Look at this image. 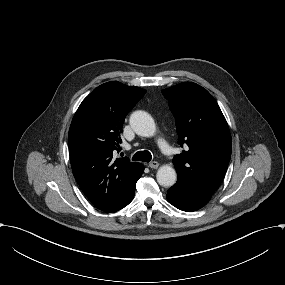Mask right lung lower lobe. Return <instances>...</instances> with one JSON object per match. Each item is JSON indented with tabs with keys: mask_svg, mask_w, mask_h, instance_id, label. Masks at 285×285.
Instances as JSON below:
<instances>
[{
	"mask_svg": "<svg viewBox=\"0 0 285 285\" xmlns=\"http://www.w3.org/2000/svg\"><path fill=\"white\" fill-rule=\"evenodd\" d=\"M144 171V170H143ZM143 171L136 177V179L134 180V182L132 183L128 193L126 194L124 200L120 203L119 206H117L113 211L111 212H115L118 211L122 208H124L125 206H127L133 199L134 197V193H135V186H136V182L139 180V178L141 177Z\"/></svg>",
	"mask_w": 285,
	"mask_h": 285,
	"instance_id": "1",
	"label": "right lung lower lobe"
}]
</instances>
